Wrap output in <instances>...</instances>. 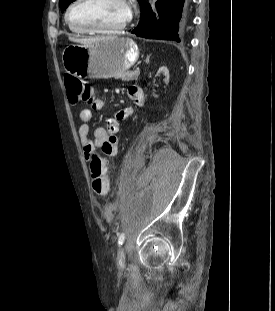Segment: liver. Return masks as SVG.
Masks as SVG:
<instances>
[{"label":"liver","instance_id":"6515ba94","mask_svg":"<svg viewBox=\"0 0 275 311\" xmlns=\"http://www.w3.org/2000/svg\"><path fill=\"white\" fill-rule=\"evenodd\" d=\"M114 38H116V37H94V38H89V39H76L75 41L79 42L81 44L88 45V44L94 43V42L99 41V40L114 39Z\"/></svg>","mask_w":275,"mask_h":311}]
</instances>
